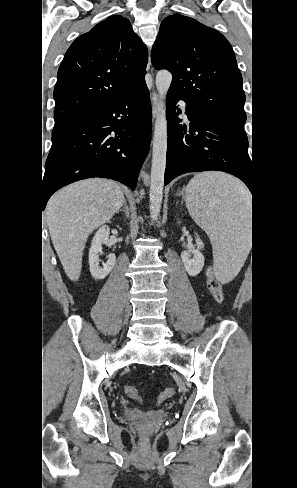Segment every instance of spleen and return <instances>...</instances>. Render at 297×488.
I'll return each instance as SVG.
<instances>
[{
    "instance_id": "3e777b00",
    "label": "spleen",
    "mask_w": 297,
    "mask_h": 488,
    "mask_svg": "<svg viewBox=\"0 0 297 488\" xmlns=\"http://www.w3.org/2000/svg\"><path fill=\"white\" fill-rule=\"evenodd\" d=\"M185 202L191 217L210 238L219 278L232 279L250 250L251 196L247 188L231 175L203 172L190 180Z\"/></svg>"
}]
</instances>
